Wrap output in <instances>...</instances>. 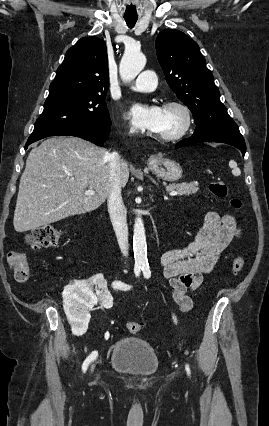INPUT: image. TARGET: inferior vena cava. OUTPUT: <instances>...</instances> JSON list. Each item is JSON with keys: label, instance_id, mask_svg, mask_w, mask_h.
I'll return each instance as SVG.
<instances>
[{"label": "inferior vena cava", "instance_id": "1", "mask_svg": "<svg viewBox=\"0 0 269 426\" xmlns=\"http://www.w3.org/2000/svg\"><path fill=\"white\" fill-rule=\"evenodd\" d=\"M109 184L107 194V204L110 219L117 237L121 252L128 255V228L126 220V209L121 196L120 173L123 161L117 152L109 154Z\"/></svg>", "mask_w": 269, "mask_h": 426}]
</instances>
